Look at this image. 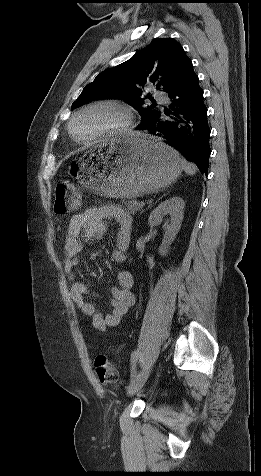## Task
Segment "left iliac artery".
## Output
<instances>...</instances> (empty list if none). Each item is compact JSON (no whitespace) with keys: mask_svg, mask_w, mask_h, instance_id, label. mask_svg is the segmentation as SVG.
Instances as JSON below:
<instances>
[{"mask_svg":"<svg viewBox=\"0 0 261 476\" xmlns=\"http://www.w3.org/2000/svg\"><path fill=\"white\" fill-rule=\"evenodd\" d=\"M138 357H139V350H135L132 355H131V365H132V369H131V381L136 377L137 375V369H136V362L138 360Z\"/></svg>","mask_w":261,"mask_h":476,"instance_id":"left-iliac-artery-1","label":"left iliac artery"}]
</instances>
